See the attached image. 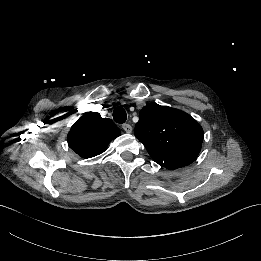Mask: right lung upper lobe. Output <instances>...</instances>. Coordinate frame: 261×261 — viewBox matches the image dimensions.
I'll list each match as a JSON object with an SVG mask.
<instances>
[{"mask_svg":"<svg viewBox=\"0 0 261 261\" xmlns=\"http://www.w3.org/2000/svg\"><path fill=\"white\" fill-rule=\"evenodd\" d=\"M120 135L119 128L98 113H85L71 128L69 147L83 158L103 153L109 142Z\"/></svg>","mask_w":261,"mask_h":261,"instance_id":"1","label":"right lung upper lobe"}]
</instances>
